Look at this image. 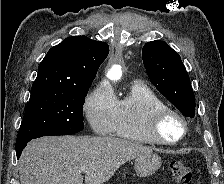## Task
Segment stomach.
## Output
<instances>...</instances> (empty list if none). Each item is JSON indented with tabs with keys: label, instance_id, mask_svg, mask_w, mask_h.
Returning a JSON list of instances; mask_svg holds the SVG:
<instances>
[{
	"label": "stomach",
	"instance_id": "1",
	"mask_svg": "<svg viewBox=\"0 0 224 184\" xmlns=\"http://www.w3.org/2000/svg\"><path fill=\"white\" fill-rule=\"evenodd\" d=\"M161 166V158L154 153L136 158L134 168L141 177H146L155 173Z\"/></svg>",
	"mask_w": 224,
	"mask_h": 184
}]
</instances>
